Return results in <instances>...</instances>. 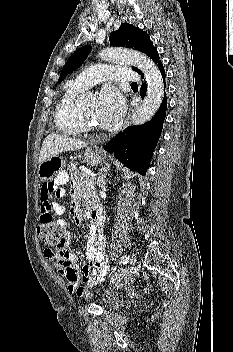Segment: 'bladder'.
<instances>
[{
    "label": "bladder",
    "instance_id": "obj_1",
    "mask_svg": "<svg viewBox=\"0 0 233 352\" xmlns=\"http://www.w3.org/2000/svg\"><path fill=\"white\" fill-rule=\"evenodd\" d=\"M102 304L107 309H117L124 303L123 296L114 290H105L101 296Z\"/></svg>",
    "mask_w": 233,
    "mask_h": 352
}]
</instances>
